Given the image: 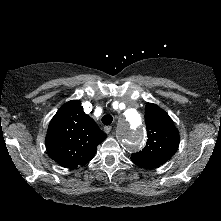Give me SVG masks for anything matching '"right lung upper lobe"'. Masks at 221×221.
<instances>
[{
  "label": "right lung upper lobe",
  "instance_id": "right-lung-upper-lobe-1",
  "mask_svg": "<svg viewBox=\"0 0 221 221\" xmlns=\"http://www.w3.org/2000/svg\"><path fill=\"white\" fill-rule=\"evenodd\" d=\"M107 135L84 113L79 100L64 104L52 118L46 139V149L53 160L66 168L88 163L97 146Z\"/></svg>",
  "mask_w": 221,
  "mask_h": 221
}]
</instances>
